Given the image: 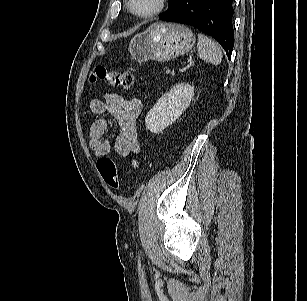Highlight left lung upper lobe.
<instances>
[{
	"instance_id": "5c2ea615",
	"label": "left lung upper lobe",
	"mask_w": 307,
	"mask_h": 301,
	"mask_svg": "<svg viewBox=\"0 0 307 301\" xmlns=\"http://www.w3.org/2000/svg\"><path fill=\"white\" fill-rule=\"evenodd\" d=\"M180 2V0H169L168 2V9L167 11H165L163 14H166L168 12H170L171 10H173L175 8V6ZM161 14V15H163ZM160 15V16H161Z\"/></svg>"
}]
</instances>
